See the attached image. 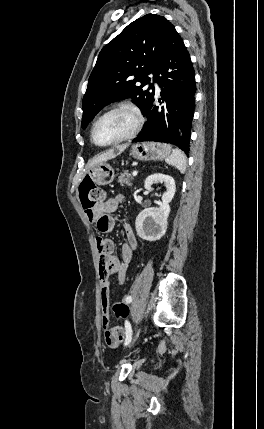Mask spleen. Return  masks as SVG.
Returning <instances> with one entry per match:
<instances>
[{"label": "spleen", "mask_w": 264, "mask_h": 429, "mask_svg": "<svg viewBox=\"0 0 264 429\" xmlns=\"http://www.w3.org/2000/svg\"><path fill=\"white\" fill-rule=\"evenodd\" d=\"M166 163L177 168L184 173L187 167V161L184 153L179 149H174L172 154L165 159Z\"/></svg>", "instance_id": "obj_1"}]
</instances>
